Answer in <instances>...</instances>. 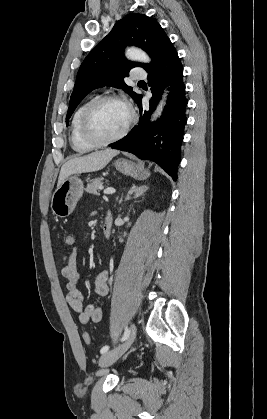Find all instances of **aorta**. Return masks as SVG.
<instances>
[{"label": "aorta", "mask_w": 267, "mask_h": 419, "mask_svg": "<svg viewBox=\"0 0 267 419\" xmlns=\"http://www.w3.org/2000/svg\"><path fill=\"white\" fill-rule=\"evenodd\" d=\"M125 54H126L128 59L133 60V61H139V62H145V63L150 61V58L148 57V55L145 52H143L142 50L138 49V48H134V47L127 48L126 51H125ZM167 93H168V91H165V93H164L161 101L159 102L156 110L152 114L151 121H155L161 116L162 110H163V108L166 104Z\"/></svg>", "instance_id": "762f6f07"}]
</instances>
